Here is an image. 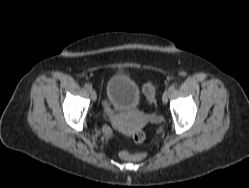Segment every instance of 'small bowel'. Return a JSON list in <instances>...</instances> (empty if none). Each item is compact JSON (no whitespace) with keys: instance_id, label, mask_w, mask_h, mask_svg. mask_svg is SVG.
<instances>
[{"instance_id":"obj_1","label":"small bowel","mask_w":249,"mask_h":188,"mask_svg":"<svg viewBox=\"0 0 249 188\" xmlns=\"http://www.w3.org/2000/svg\"><path fill=\"white\" fill-rule=\"evenodd\" d=\"M104 107L106 108V110L107 111H109L110 109H109V105H108V103L107 102H104Z\"/></svg>"}]
</instances>
